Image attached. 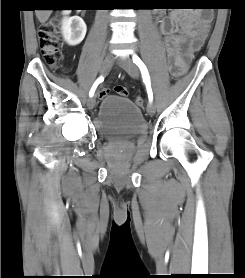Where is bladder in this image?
<instances>
[{"label": "bladder", "mask_w": 245, "mask_h": 278, "mask_svg": "<svg viewBox=\"0 0 245 278\" xmlns=\"http://www.w3.org/2000/svg\"><path fill=\"white\" fill-rule=\"evenodd\" d=\"M95 123L99 135L108 142L140 137L146 130L140 107L119 95H108L102 99Z\"/></svg>", "instance_id": "31cf9c89"}]
</instances>
